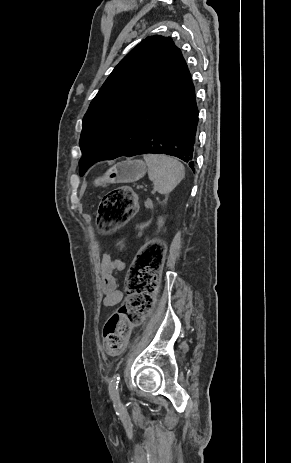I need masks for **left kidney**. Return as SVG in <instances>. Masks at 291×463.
Masks as SVG:
<instances>
[{
	"mask_svg": "<svg viewBox=\"0 0 291 463\" xmlns=\"http://www.w3.org/2000/svg\"><path fill=\"white\" fill-rule=\"evenodd\" d=\"M164 224V218L163 217H159L158 218V227L159 229L163 226Z\"/></svg>",
	"mask_w": 291,
	"mask_h": 463,
	"instance_id": "1",
	"label": "left kidney"
}]
</instances>
